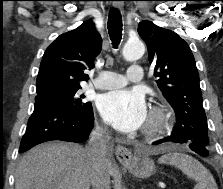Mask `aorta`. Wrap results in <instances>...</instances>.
Here are the masks:
<instances>
[{
	"label": "aorta",
	"mask_w": 223,
	"mask_h": 189,
	"mask_svg": "<svg viewBox=\"0 0 223 189\" xmlns=\"http://www.w3.org/2000/svg\"><path fill=\"white\" fill-rule=\"evenodd\" d=\"M145 52V46L140 40L127 42L123 47V57L127 61H136L140 59Z\"/></svg>",
	"instance_id": "aorta-1"
}]
</instances>
